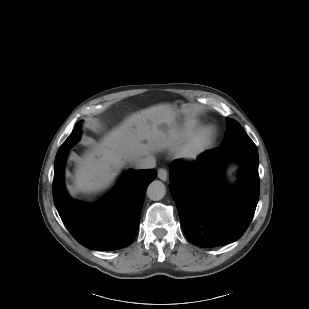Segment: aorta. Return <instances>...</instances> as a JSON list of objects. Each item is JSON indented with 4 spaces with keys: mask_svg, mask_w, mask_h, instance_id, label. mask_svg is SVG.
Segmentation results:
<instances>
[{
    "mask_svg": "<svg viewBox=\"0 0 309 309\" xmlns=\"http://www.w3.org/2000/svg\"><path fill=\"white\" fill-rule=\"evenodd\" d=\"M166 193L165 185L158 180L151 182L147 188V196L153 201L161 200Z\"/></svg>",
    "mask_w": 309,
    "mask_h": 309,
    "instance_id": "aorta-1",
    "label": "aorta"
}]
</instances>
